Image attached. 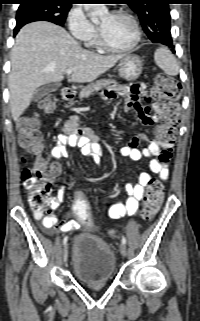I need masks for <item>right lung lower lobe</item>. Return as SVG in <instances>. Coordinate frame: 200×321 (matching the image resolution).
I'll use <instances>...</instances> for the list:
<instances>
[{
  "instance_id": "1",
  "label": "right lung lower lobe",
  "mask_w": 200,
  "mask_h": 321,
  "mask_svg": "<svg viewBox=\"0 0 200 321\" xmlns=\"http://www.w3.org/2000/svg\"><path fill=\"white\" fill-rule=\"evenodd\" d=\"M25 24H27V23H20V24H17L16 25V27H15V29H14V35H16L17 34V32L19 31V29L22 27V26H24Z\"/></svg>"
}]
</instances>
